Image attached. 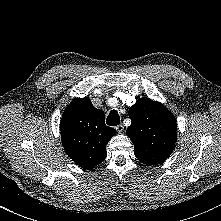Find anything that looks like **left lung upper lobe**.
Returning <instances> with one entry per match:
<instances>
[{
    "instance_id": "1",
    "label": "left lung upper lobe",
    "mask_w": 221,
    "mask_h": 221,
    "mask_svg": "<svg viewBox=\"0 0 221 221\" xmlns=\"http://www.w3.org/2000/svg\"><path fill=\"white\" fill-rule=\"evenodd\" d=\"M131 125L126 134L134 144V154L146 165L164 162L176 143L174 115L161 103L139 99L129 109Z\"/></svg>"
}]
</instances>
